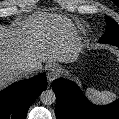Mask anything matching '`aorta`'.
I'll return each instance as SVG.
<instances>
[{
	"label": "aorta",
	"mask_w": 119,
	"mask_h": 119,
	"mask_svg": "<svg viewBox=\"0 0 119 119\" xmlns=\"http://www.w3.org/2000/svg\"><path fill=\"white\" fill-rule=\"evenodd\" d=\"M40 100L44 105H51L56 102V95L53 90H45L41 93Z\"/></svg>",
	"instance_id": "762f6f07"
}]
</instances>
